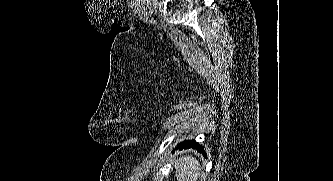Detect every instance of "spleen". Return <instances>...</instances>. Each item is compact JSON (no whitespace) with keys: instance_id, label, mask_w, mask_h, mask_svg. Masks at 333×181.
I'll return each instance as SVG.
<instances>
[{"instance_id":"1","label":"spleen","mask_w":333,"mask_h":181,"mask_svg":"<svg viewBox=\"0 0 333 181\" xmlns=\"http://www.w3.org/2000/svg\"><path fill=\"white\" fill-rule=\"evenodd\" d=\"M176 178L178 181H197L202 168L193 156H184L175 162Z\"/></svg>"}]
</instances>
